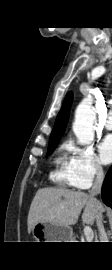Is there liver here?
<instances>
[{
    "label": "liver",
    "mask_w": 112,
    "mask_h": 270,
    "mask_svg": "<svg viewBox=\"0 0 112 270\" xmlns=\"http://www.w3.org/2000/svg\"><path fill=\"white\" fill-rule=\"evenodd\" d=\"M82 214V221L93 224L103 211L94 197L81 191L47 187L39 189L30 206L27 226L30 233L38 223H54L61 226L74 225Z\"/></svg>",
    "instance_id": "1"
}]
</instances>
